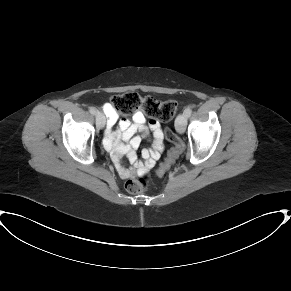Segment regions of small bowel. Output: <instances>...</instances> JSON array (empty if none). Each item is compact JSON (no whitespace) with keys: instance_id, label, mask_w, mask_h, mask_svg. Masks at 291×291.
Listing matches in <instances>:
<instances>
[{"instance_id":"1","label":"small bowel","mask_w":291,"mask_h":291,"mask_svg":"<svg viewBox=\"0 0 291 291\" xmlns=\"http://www.w3.org/2000/svg\"><path fill=\"white\" fill-rule=\"evenodd\" d=\"M102 110L108 118L104 146L110 152L113 162L122 178H135L152 169L164 150V135L158 121L147 119L141 111H136L130 121L125 114L119 113L110 103H105ZM153 134V148L144 149L137 158L136 149L141 143L137 133ZM185 152V145L178 143L174 157L178 158ZM126 156L131 167H125L122 158Z\"/></svg>"}]
</instances>
